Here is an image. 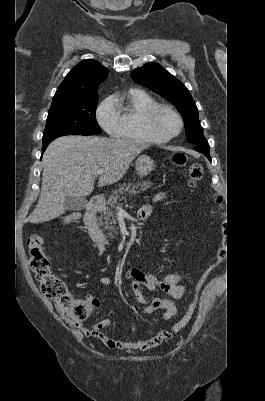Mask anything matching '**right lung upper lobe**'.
Segmentation results:
<instances>
[{
    "instance_id": "cb5924a9",
    "label": "right lung upper lobe",
    "mask_w": 265,
    "mask_h": 401,
    "mask_svg": "<svg viewBox=\"0 0 265 401\" xmlns=\"http://www.w3.org/2000/svg\"><path fill=\"white\" fill-rule=\"evenodd\" d=\"M108 75V69L98 61L85 59L77 64L58 87L51 106L72 99L98 95L97 88Z\"/></svg>"
}]
</instances>
